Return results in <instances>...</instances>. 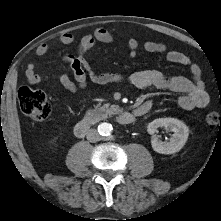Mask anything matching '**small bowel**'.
Returning <instances> with one entry per match:
<instances>
[{"label": "small bowel", "instance_id": "small-bowel-1", "mask_svg": "<svg viewBox=\"0 0 221 221\" xmlns=\"http://www.w3.org/2000/svg\"><path fill=\"white\" fill-rule=\"evenodd\" d=\"M57 40L63 45H70L74 43L75 38L71 33H63L58 36ZM114 40V35L105 28H98L93 33L84 35L78 42L76 53H67L62 57L63 62L70 66L74 80L65 73L55 74L53 79L71 93L85 89L89 81L97 84H108L127 80L138 89L152 86L179 93L178 103L185 110L205 108L209 104L210 98L201 79L199 66L193 63L184 53L170 50L166 44L161 42L146 41L142 47L146 52L163 54L169 62L187 67L192 74V79L183 76H168L158 70L140 71L128 77L116 72H97L86 58V55L97 43H111ZM140 46L138 40L130 38L128 40V57L134 59ZM49 49L50 45L48 43H41L35 52L37 56H44L49 52ZM25 76L27 82L32 85L39 84L48 78L37 72L34 62L27 64ZM142 105H149L151 108L152 103L147 101ZM142 105L135 109L136 113L140 111Z\"/></svg>", "mask_w": 221, "mask_h": 221}]
</instances>
